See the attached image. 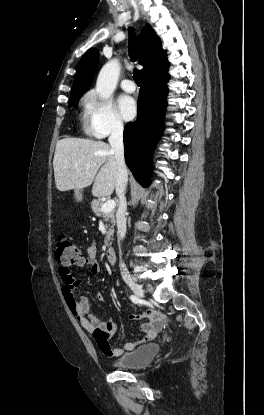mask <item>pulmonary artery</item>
I'll list each match as a JSON object with an SVG mask.
<instances>
[{
  "instance_id": "pulmonary-artery-1",
  "label": "pulmonary artery",
  "mask_w": 264,
  "mask_h": 415,
  "mask_svg": "<svg viewBox=\"0 0 264 415\" xmlns=\"http://www.w3.org/2000/svg\"><path fill=\"white\" fill-rule=\"evenodd\" d=\"M121 88L128 93H132L135 91L136 86L131 79H124L121 82Z\"/></svg>"
}]
</instances>
